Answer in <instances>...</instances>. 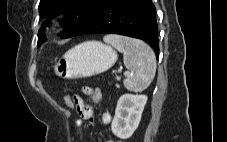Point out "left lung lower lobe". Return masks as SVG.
Instances as JSON below:
<instances>
[{
    "instance_id": "left-lung-lower-lobe-1",
    "label": "left lung lower lobe",
    "mask_w": 227,
    "mask_h": 142,
    "mask_svg": "<svg viewBox=\"0 0 227 142\" xmlns=\"http://www.w3.org/2000/svg\"><path fill=\"white\" fill-rule=\"evenodd\" d=\"M155 14L151 0H107L73 36L105 33L138 38L149 43L158 58Z\"/></svg>"
}]
</instances>
